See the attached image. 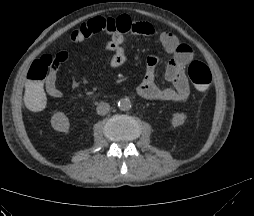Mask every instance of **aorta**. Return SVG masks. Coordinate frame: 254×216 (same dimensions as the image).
<instances>
[{
    "label": "aorta",
    "instance_id": "obj_1",
    "mask_svg": "<svg viewBox=\"0 0 254 216\" xmlns=\"http://www.w3.org/2000/svg\"><path fill=\"white\" fill-rule=\"evenodd\" d=\"M118 107L121 111H129L131 109V101L128 98L120 99Z\"/></svg>",
    "mask_w": 254,
    "mask_h": 216
}]
</instances>
